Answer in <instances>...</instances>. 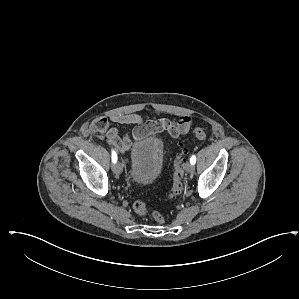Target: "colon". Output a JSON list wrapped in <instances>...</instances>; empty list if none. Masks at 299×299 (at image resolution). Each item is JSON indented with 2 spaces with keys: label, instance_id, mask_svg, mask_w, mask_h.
Wrapping results in <instances>:
<instances>
[{
  "label": "colon",
  "instance_id": "5ec220e1",
  "mask_svg": "<svg viewBox=\"0 0 299 299\" xmlns=\"http://www.w3.org/2000/svg\"><path fill=\"white\" fill-rule=\"evenodd\" d=\"M97 130L105 131L107 123L104 120H99L95 124ZM192 136L198 140H205L207 138L206 132L202 128H195L192 131ZM184 150L177 153L173 163V177H172V188L169 193V198L174 199L178 197L183 190V176H184ZM134 211L139 215H145L147 213L146 205L144 202L138 200L133 204ZM152 218L158 223L164 222V217L157 211L151 213Z\"/></svg>",
  "mask_w": 299,
  "mask_h": 299
}]
</instances>
